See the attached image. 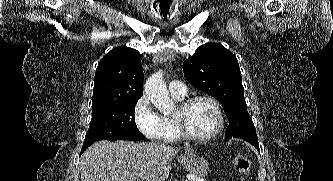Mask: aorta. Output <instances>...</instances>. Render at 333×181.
Instances as JSON below:
<instances>
[{
    "label": "aorta",
    "mask_w": 333,
    "mask_h": 181,
    "mask_svg": "<svg viewBox=\"0 0 333 181\" xmlns=\"http://www.w3.org/2000/svg\"><path fill=\"white\" fill-rule=\"evenodd\" d=\"M144 92L158 110L168 112L172 109L173 102L164 83L163 72L161 70L155 72L146 80Z\"/></svg>",
    "instance_id": "762f6f07"
}]
</instances>
